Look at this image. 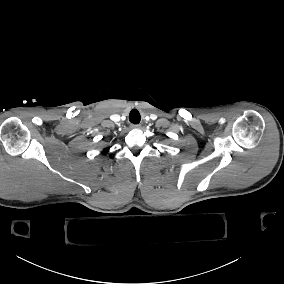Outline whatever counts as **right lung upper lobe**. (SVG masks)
I'll use <instances>...</instances> for the list:
<instances>
[{"mask_svg":"<svg viewBox=\"0 0 284 284\" xmlns=\"http://www.w3.org/2000/svg\"><path fill=\"white\" fill-rule=\"evenodd\" d=\"M109 150V148L104 149V152H107Z\"/></svg>","mask_w":284,"mask_h":284,"instance_id":"1","label":"right lung upper lobe"}]
</instances>
